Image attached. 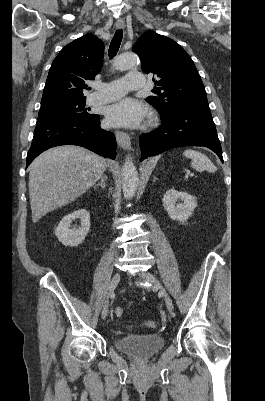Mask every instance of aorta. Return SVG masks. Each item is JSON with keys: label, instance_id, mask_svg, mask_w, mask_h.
I'll list each match as a JSON object with an SVG mask.
<instances>
[{"label": "aorta", "instance_id": "obj_1", "mask_svg": "<svg viewBox=\"0 0 265 401\" xmlns=\"http://www.w3.org/2000/svg\"><path fill=\"white\" fill-rule=\"evenodd\" d=\"M121 62L115 64L116 68H132L139 64V58L137 54L132 52H123L119 56ZM138 170L131 160V156H126L125 162L122 168V188L125 198H133L138 186Z\"/></svg>", "mask_w": 265, "mask_h": 401}]
</instances>
